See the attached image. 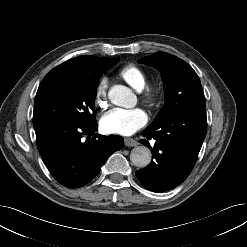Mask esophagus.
Returning a JSON list of instances; mask_svg holds the SVG:
<instances>
[{"label":"esophagus","instance_id":"1","mask_svg":"<svg viewBox=\"0 0 247 247\" xmlns=\"http://www.w3.org/2000/svg\"><path fill=\"white\" fill-rule=\"evenodd\" d=\"M124 142H125V145L128 147H134L138 145V142L133 138H125Z\"/></svg>","mask_w":247,"mask_h":247}]
</instances>
